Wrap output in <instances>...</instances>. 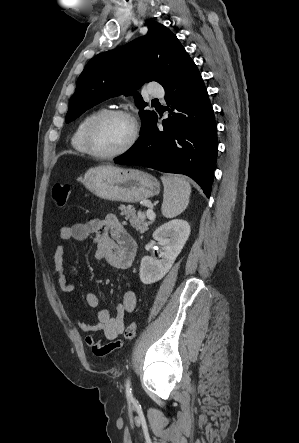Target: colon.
Wrapping results in <instances>:
<instances>
[{
	"instance_id": "5ec220e1",
	"label": "colon",
	"mask_w": 299,
	"mask_h": 443,
	"mask_svg": "<svg viewBox=\"0 0 299 443\" xmlns=\"http://www.w3.org/2000/svg\"><path fill=\"white\" fill-rule=\"evenodd\" d=\"M69 195H70L69 184L59 182L56 183L52 188L51 200L57 206L64 207L68 202ZM136 334H137V324L136 322H130L124 331V336L128 340H132L136 337Z\"/></svg>"
}]
</instances>
